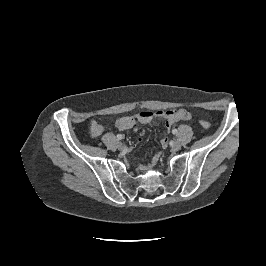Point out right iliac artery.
<instances>
[{
	"label": "right iliac artery",
	"mask_w": 266,
	"mask_h": 266,
	"mask_svg": "<svg viewBox=\"0 0 266 266\" xmlns=\"http://www.w3.org/2000/svg\"><path fill=\"white\" fill-rule=\"evenodd\" d=\"M123 138H124L123 135H121V134H118V135H117V139H118V140H121V139H123Z\"/></svg>",
	"instance_id": "82829eb1"
}]
</instances>
